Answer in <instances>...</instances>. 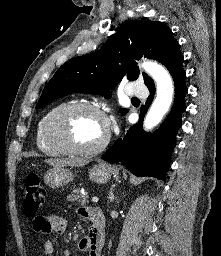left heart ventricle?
<instances>
[{"label":"left heart ventricle","instance_id":"obj_1","mask_svg":"<svg viewBox=\"0 0 221 256\" xmlns=\"http://www.w3.org/2000/svg\"><path fill=\"white\" fill-rule=\"evenodd\" d=\"M105 121L96 113L78 110L68 114L62 122V130L76 146L92 147L106 134Z\"/></svg>","mask_w":221,"mask_h":256}]
</instances>
